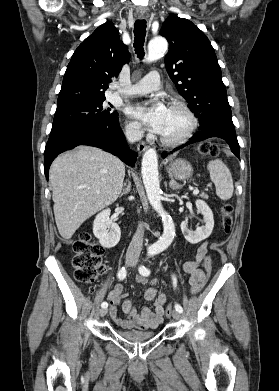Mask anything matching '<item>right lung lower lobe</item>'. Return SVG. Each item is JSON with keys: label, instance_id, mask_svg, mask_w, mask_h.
<instances>
[{"label": "right lung lower lobe", "instance_id": "98d812e1", "mask_svg": "<svg viewBox=\"0 0 279 391\" xmlns=\"http://www.w3.org/2000/svg\"><path fill=\"white\" fill-rule=\"evenodd\" d=\"M77 145H90L104 149L119 156L129 166H134L137 157L136 152L127 148L118 116L99 123L52 128L44 152V172L47 178L54 158Z\"/></svg>", "mask_w": 279, "mask_h": 391}]
</instances>
